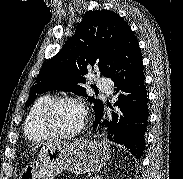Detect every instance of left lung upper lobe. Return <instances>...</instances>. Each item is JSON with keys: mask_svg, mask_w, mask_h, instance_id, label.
Returning <instances> with one entry per match:
<instances>
[{"mask_svg": "<svg viewBox=\"0 0 183 179\" xmlns=\"http://www.w3.org/2000/svg\"><path fill=\"white\" fill-rule=\"evenodd\" d=\"M131 28L119 14L109 10L89 11L62 49L43 64L31 87L26 106L40 93L51 90L73 92L94 103L95 116L104 108L101 100L89 97L81 83L89 68L98 66L101 75L110 76L126 32ZM114 62V63H113Z\"/></svg>", "mask_w": 183, "mask_h": 179, "instance_id": "1", "label": "left lung upper lobe"}]
</instances>
